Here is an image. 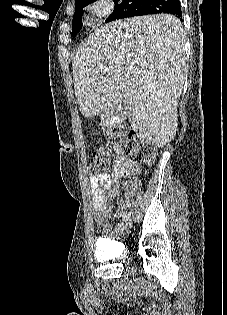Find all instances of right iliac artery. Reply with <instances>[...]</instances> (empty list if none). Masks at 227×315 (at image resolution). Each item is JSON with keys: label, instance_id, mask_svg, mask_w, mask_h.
Here are the masks:
<instances>
[{"label": "right iliac artery", "instance_id": "1", "mask_svg": "<svg viewBox=\"0 0 227 315\" xmlns=\"http://www.w3.org/2000/svg\"><path fill=\"white\" fill-rule=\"evenodd\" d=\"M130 216H131V213L125 214V215L123 216V220L125 221V220L129 219Z\"/></svg>", "mask_w": 227, "mask_h": 315}]
</instances>
